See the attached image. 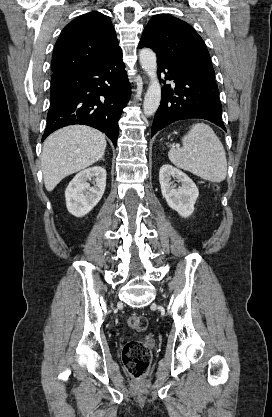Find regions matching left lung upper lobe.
<instances>
[{
  "label": "left lung upper lobe",
  "instance_id": "left-lung-upper-lobe-1",
  "mask_svg": "<svg viewBox=\"0 0 272 417\" xmlns=\"http://www.w3.org/2000/svg\"><path fill=\"white\" fill-rule=\"evenodd\" d=\"M149 47L157 61L175 64L215 81L210 55L202 38L186 22L167 14L154 16L146 25L139 47Z\"/></svg>",
  "mask_w": 272,
  "mask_h": 417
}]
</instances>
